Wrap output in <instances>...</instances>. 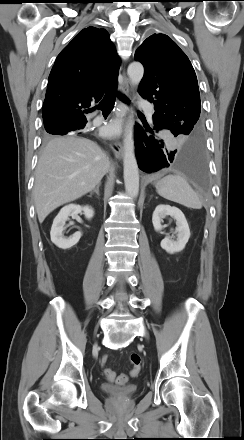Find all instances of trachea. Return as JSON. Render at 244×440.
Segmentation results:
<instances>
[{
    "label": "trachea",
    "mask_w": 244,
    "mask_h": 440,
    "mask_svg": "<svg viewBox=\"0 0 244 440\" xmlns=\"http://www.w3.org/2000/svg\"><path fill=\"white\" fill-rule=\"evenodd\" d=\"M121 99L125 102H128V99H126L124 96L121 95ZM114 103H115V95L112 93H107L104 98L102 99V101L100 102V104L98 105V108L103 112V113H109L111 112V110L114 107ZM89 111H92V109H89Z\"/></svg>",
    "instance_id": "1"
}]
</instances>
